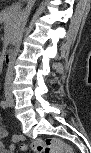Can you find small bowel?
I'll list each match as a JSON object with an SVG mask.
<instances>
[{
  "instance_id": "1",
  "label": "small bowel",
  "mask_w": 91,
  "mask_h": 153,
  "mask_svg": "<svg viewBox=\"0 0 91 153\" xmlns=\"http://www.w3.org/2000/svg\"><path fill=\"white\" fill-rule=\"evenodd\" d=\"M7 137V132L6 130L4 129H0V151L3 152V153H10V152H13L14 151V145L16 143V141L18 139H23L21 136H14L13 137V145H10V146H7L5 145L2 140L5 139Z\"/></svg>"
}]
</instances>
